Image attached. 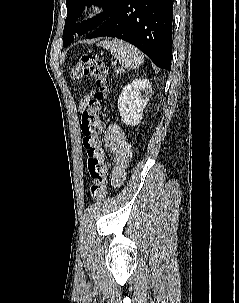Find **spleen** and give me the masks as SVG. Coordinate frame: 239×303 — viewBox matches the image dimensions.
<instances>
[{
    "label": "spleen",
    "instance_id": "1",
    "mask_svg": "<svg viewBox=\"0 0 239 303\" xmlns=\"http://www.w3.org/2000/svg\"><path fill=\"white\" fill-rule=\"evenodd\" d=\"M98 46L106 50L109 49L111 55L118 59L119 63L126 69H136L144 62L143 53L135 46L123 40L102 41Z\"/></svg>",
    "mask_w": 239,
    "mask_h": 303
}]
</instances>
